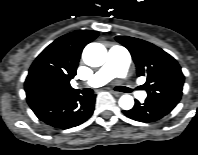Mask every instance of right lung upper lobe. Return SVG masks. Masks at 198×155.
I'll list each match as a JSON object with an SVG mask.
<instances>
[{"label": "right lung upper lobe", "instance_id": "right-lung-upper-lobe-1", "mask_svg": "<svg viewBox=\"0 0 198 155\" xmlns=\"http://www.w3.org/2000/svg\"><path fill=\"white\" fill-rule=\"evenodd\" d=\"M97 36L96 31L78 30L61 36L41 52L25 81L30 107L77 93L70 80L76 75L83 48Z\"/></svg>", "mask_w": 198, "mask_h": 155}]
</instances>
